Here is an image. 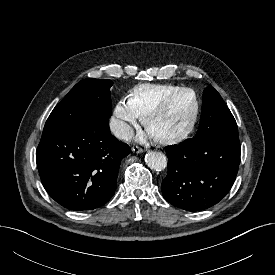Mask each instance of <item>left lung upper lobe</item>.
Listing matches in <instances>:
<instances>
[{"mask_svg": "<svg viewBox=\"0 0 275 275\" xmlns=\"http://www.w3.org/2000/svg\"><path fill=\"white\" fill-rule=\"evenodd\" d=\"M195 137H238V127L232 113L212 86L203 91L201 119Z\"/></svg>", "mask_w": 275, "mask_h": 275, "instance_id": "1", "label": "left lung upper lobe"}]
</instances>
